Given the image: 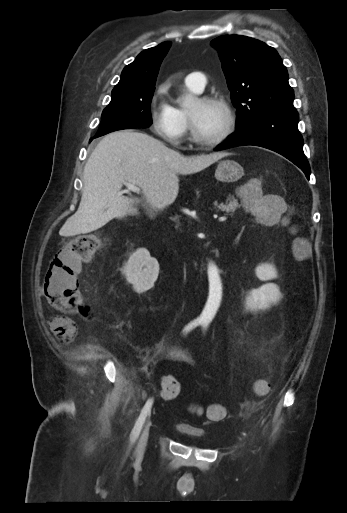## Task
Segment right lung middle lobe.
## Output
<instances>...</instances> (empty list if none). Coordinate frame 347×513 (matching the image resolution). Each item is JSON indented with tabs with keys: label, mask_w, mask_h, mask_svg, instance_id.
Listing matches in <instances>:
<instances>
[{
	"label": "right lung middle lobe",
	"mask_w": 347,
	"mask_h": 513,
	"mask_svg": "<svg viewBox=\"0 0 347 513\" xmlns=\"http://www.w3.org/2000/svg\"><path fill=\"white\" fill-rule=\"evenodd\" d=\"M155 87L119 88L112 91V99L103 110L96 135L132 128H147L152 124L150 104Z\"/></svg>",
	"instance_id": "1"
}]
</instances>
